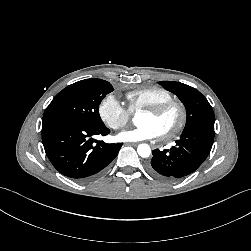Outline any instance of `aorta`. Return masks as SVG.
I'll list each match as a JSON object with an SVG mask.
<instances>
[{
  "mask_svg": "<svg viewBox=\"0 0 251 251\" xmlns=\"http://www.w3.org/2000/svg\"><path fill=\"white\" fill-rule=\"evenodd\" d=\"M137 152H138L139 156L146 158V157L150 156L151 148L148 144H140L137 147Z\"/></svg>",
  "mask_w": 251,
  "mask_h": 251,
  "instance_id": "obj_1",
  "label": "aorta"
}]
</instances>
